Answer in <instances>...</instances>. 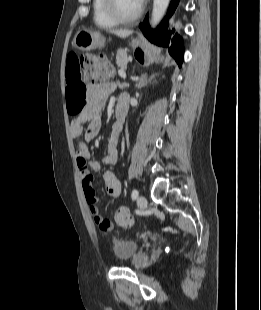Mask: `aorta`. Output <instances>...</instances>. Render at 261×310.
<instances>
[{
    "instance_id": "1",
    "label": "aorta",
    "mask_w": 261,
    "mask_h": 310,
    "mask_svg": "<svg viewBox=\"0 0 261 310\" xmlns=\"http://www.w3.org/2000/svg\"><path fill=\"white\" fill-rule=\"evenodd\" d=\"M170 0H154L151 15V25L155 27L163 18Z\"/></svg>"
}]
</instances>
